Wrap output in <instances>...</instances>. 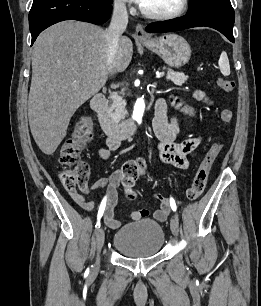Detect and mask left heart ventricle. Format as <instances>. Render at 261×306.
<instances>
[{
  "mask_svg": "<svg viewBox=\"0 0 261 306\" xmlns=\"http://www.w3.org/2000/svg\"><path fill=\"white\" fill-rule=\"evenodd\" d=\"M181 0H145L142 6L151 12L167 13L177 9Z\"/></svg>",
  "mask_w": 261,
  "mask_h": 306,
  "instance_id": "1",
  "label": "left heart ventricle"
}]
</instances>
